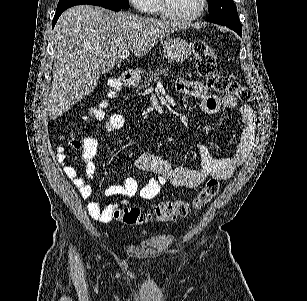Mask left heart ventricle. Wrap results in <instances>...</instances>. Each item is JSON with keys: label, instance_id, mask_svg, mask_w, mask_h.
I'll list each match as a JSON object with an SVG mask.
<instances>
[{"label": "left heart ventricle", "instance_id": "1", "mask_svg": "<svg viewBox=\"0 0 307 301\" xmlns=\"http://www.w3.org/2000/svg\"><path fill=\"white\" fill-rule=\"evenodd\" d=\"M170 2V13H188V11H197L199 0H167Z\"/></svg>", "mask_w": 307, "mask_h": 301}]
</instances>
